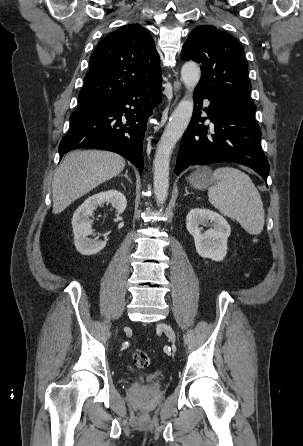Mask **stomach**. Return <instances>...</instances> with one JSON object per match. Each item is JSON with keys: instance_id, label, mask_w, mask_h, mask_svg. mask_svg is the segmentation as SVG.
Listing matches in <instances>:
<instances>
[{"instance_id": "0dacf381", "label": "stomach", "mask_w": 303, "mask_h": 446, "mask_svg": "<svg viewBox=\"0 0 303 446\" xmlns=\"http://www.w3.org/2000/svg\"><path fill=\"white\" fill-rule=\"evenodd\" d=\"M213 180L212 171L209 168L204 167L192 174L190 184L192 187L202 190L212 184Z\"/></svg>"}]
</instances>
